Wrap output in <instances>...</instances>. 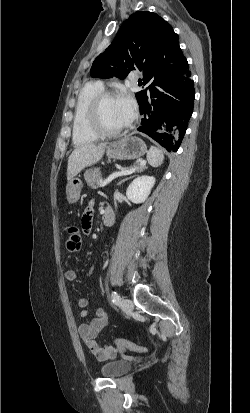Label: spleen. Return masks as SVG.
<instances>
[{
  "instance_id": "1",
  "label": "spleen",
  "mask_w": 250,
  "mask_h": 413,
  "mask_svg": "<svg viewBox=\"0 0 250 413\" xmlns=\"http://www.w3.org/2000/svg\"><path fill=\"white\" fill-rule=\"evenodd\" d=\"M164 155L162 151L154 146H151L147 152V161L153 167H158L163 163Z\"/></svg>"
}]
</instances>
